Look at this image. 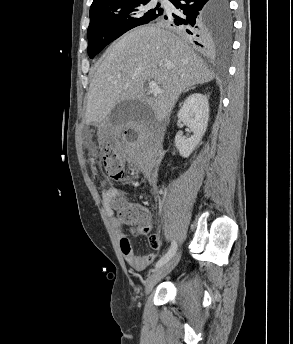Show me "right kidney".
Returning a JSON list of instances; mask_svg holds the SVG:
<instances>
[{"label":"right kidney","mask_w":293,"mask_h":344,"mask_svg":"<svg viewBox=\"0 0 293 344\" xmlns=\"http://www.w3.org/2000/svg\"><path fill=\"white\" fill-rule=\"evenodd\" d=\"M177 116L193 132V135L187 139L183 138L180 133L175 136V146L180 155L188 158L201 142L208 126V97L200 93L190 95L184 101Z\"/></svg>","instance_id":"right-kidney-1"}]
</instances>
